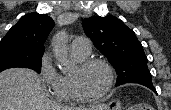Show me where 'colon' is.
<instances>
[{
	"instance_id": "1",
	"label": "colon",
	"mask_w": 171,
	"mask_h": 110,
	"mask_svg": "<svg viewBox=\"0 0 171 110\" xmlns=\"http://www.w3.org/2000/svg\"><path fill=\"white\" fill-rule=\"evenodd\" d=\"M129 110H138L137 106H132L129 108Z\"/></svg>"
}]
</instances>
